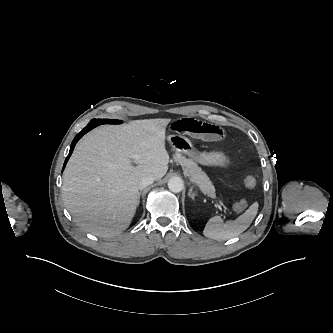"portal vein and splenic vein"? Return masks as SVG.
I'll use <instances>...</instances> for the list:
<instances>
[{
    "label": "portal vein and splenic vein",
    "mask_w": 333,
    "mask_h": 333,
    "mask_svg": "<svg viewBox=\"0 0 333 333\" xmlns=\"http://www.w3.org/2000/svg\"><path fill=\"white\" fill-rule=\"evenodd\" d=\"M212 198H216V195H212L211 196ZM217 203L220 205V207L223 209L224 213L229 215L230 214V211L229 209L224 205V203L221 201V200H217Z\"/></svg>",
    "instance_id": "obj_1"
}]
</instances>
